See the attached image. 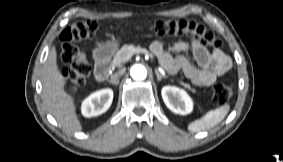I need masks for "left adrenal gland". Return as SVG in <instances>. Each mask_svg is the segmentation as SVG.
I'll list each match as a JSON object with an SVG mask.
<instances>
[{
  "mask_svg": "<svg viewBox=\"0 0 283 162\" xmlns=\"http://www.w3.org/2000/svg\"><path fill=\"white\" fill-rule=\"evenodd\" d=\"M155 74L157 76V80L158 81H161L162 78H168V76H165V75H161L157 69H155Z\"/></svg>",
  "mask_w": 283,
  "mask_h": 162,
  "instance_id": "obj_1",
  "label": "left adrenal gland"
}]
</instances>
